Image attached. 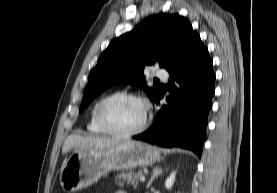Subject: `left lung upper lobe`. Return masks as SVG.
Returning <instances> with one entry per match:
<instances>
[{"label": "left lung upper lobe", "instance_id": "obj_1", "mask_svg": "<svg viewBox=\"0 0 277 193\" xmlns=\"http://www.w3.org/2000/svg\"><path fill=\"white\" fill-rule=\"evenodd\" d=\"M197 35L184 17L162 13L147 18L133 31L114 39L89 74L80 112L109 86L124 82L138 85L156 101L161 91L146 86L142 75L144 67L158 63L170 70L184 57Z\"/></svg>", "mask_w": 277, "mask_h": 193}]
</instances>
